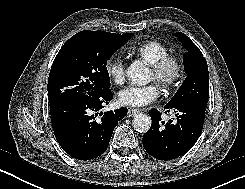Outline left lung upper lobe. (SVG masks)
<instances>
[{
	"label": "left lung upper lobe",
	"instance_id": "left-lung-upper-lobe-1",
	"mask_svg": "<svg viewBox=\"0 0 245 189\" xmlns=\"http://www.w3.org/2000/svg\"><path fill=\"white\" fill-rule=\"evenodd\" d=\"M186 48L183 55L186 79L168 105L196 103L207 107L209 97V73L206 59L199 48L183 33H177Z\"/></svg>",
	"mask_w": 245,
	"mask_h": 189
}]
</instances>
